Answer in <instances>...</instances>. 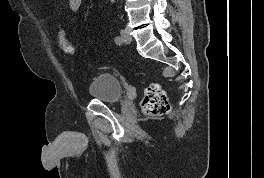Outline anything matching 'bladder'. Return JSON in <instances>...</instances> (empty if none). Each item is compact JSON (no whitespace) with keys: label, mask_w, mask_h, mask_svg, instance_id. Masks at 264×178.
Listing matches in <instances>:
<instances>
[{"label":"bladder","mask_w":264,"mask_h":178,"mask_svg":"<svg viewBox=\"0 0 264 178\" xmlns=\"http://www.w3.org/2000/svg\"><path fill=\"white\" fill-rule=\"evenodd\" d=\"M88 94L103 103L118 104L123 98V86L114 75L100 73L90 82Z\"/></svg>","instance_id":"bladder-1"}]
</instances>
